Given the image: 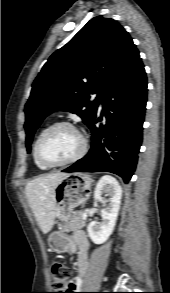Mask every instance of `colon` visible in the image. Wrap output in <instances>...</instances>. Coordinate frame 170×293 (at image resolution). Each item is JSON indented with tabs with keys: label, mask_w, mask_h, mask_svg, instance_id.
<instances>
[{
	"label": "colon",
	"mask_w": 170,
	"mask_h": 293,
	"mask_svg": "<svg viewBox=\"0 0 170 293\" xmlns=\"http://www.w3.org/2000/svg\"><path fill=\"white\" fill-rule=\"evenodd\" d=\"M51 272H52L53 283L60 290V292H56V293H63L61 291L65 289L66 284L71 275L69 268L65 266L64 263L56 260L52 263Z\"/></svg>",
	"instance_id": "colon-1"
}]
</instances>
